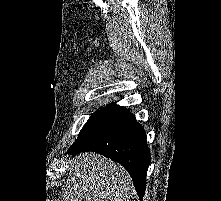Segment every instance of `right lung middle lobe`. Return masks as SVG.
Wrapping results in <instances>:
<instances>
[{"instance_id": "obj_1", "label": "right lung middle lobe", "mask_w": 221, "mask_h": 201, "mask_svg": "<svg viewBox=\"0 0 221 201\" xmlns=\"http://www.w3.org/2000/svg\"><path fill=\"white\" fill-rule=\"evenodd\" d=\"M97 112H98V110L91 115V117L89 118V120H90ZM89 120H88V121H89ZM88 121H87V122H88Z\"/></svg>"}]
</instances>
